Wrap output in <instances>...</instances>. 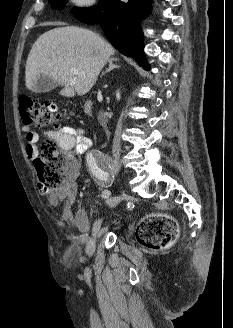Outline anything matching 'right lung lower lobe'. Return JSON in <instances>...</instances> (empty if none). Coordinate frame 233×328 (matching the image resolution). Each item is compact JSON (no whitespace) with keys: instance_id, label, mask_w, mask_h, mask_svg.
Instances as JSON below:
<instances>
[{"instance_id":"right-lung-lower-lobe-1","label":"right lung lower lobe","mask_w":233,"mask_h":328,"mask_svg":"<svg viewBox=\"0 0 233 328\" xmlns=\"http://www.w3.org/2000/svg\"><path fill=\"white\" fill-rule=\"evenodd\" d=\"M151 2L152 0H101L100 8L94 6L73 13L84 23H100L116 49L133 57L145 69H150L144 57L140 22L149 15Z\"/></svg>"}]
</instances>
